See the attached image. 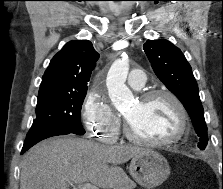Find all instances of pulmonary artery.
Segmentation results:
<instances>
[{
  "label": "pulmonary artery",
  "mask_w": 223,
  "mask_h": 189,
  "mask_svg": "<svg viewBox=\"0 0 223 189\" xmlns=\"http://www.w3.org/2000/svg\"><path fill=\"white\" fill-rule=\"evenodd\" d=\"M145 83H146V75L143 70L134 69L130 72L127 79V84L130 87L139 90L144 87Z\"/></svg>",
  "instance_id": "pulmonary-artery-1"
}]
</instances>
